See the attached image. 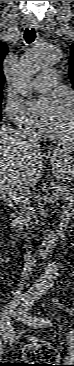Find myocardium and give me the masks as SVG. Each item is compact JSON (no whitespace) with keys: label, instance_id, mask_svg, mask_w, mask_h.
<instances>
[{"label":"myocardium","instance_id":"obj_1","mask_svg":"<svg viewBox=\"0 0 74 366\" xmlns=\"http://www.w3.org/2000/svg\"><path fill=\"white\" fill-rule=\"evenodd\" d=\"M68 103V106L70 107L71 115H72V132L67 137H62L57 134L51 135L53 140H56L60 143L72 145L74 144V103L71 100L66 101Z\"/></svg>","mask_w":74,"mask_h":366}]
</instances>
